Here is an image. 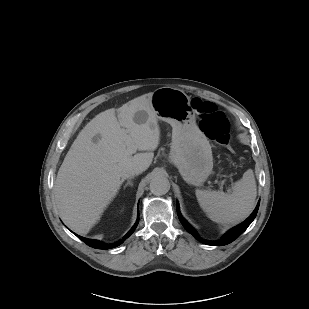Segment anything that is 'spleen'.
Masks as SVG:
<instances>
[{"instance_id":"3e777b00","label":"spleen","mask_w":309,"mask_h":309,"mask_svg":"<svg viewBox=\"0 0 309 309\" xmlns=\"http://www.w3.org/2000/svg\"><path fill=\"white\" fill-rule=\"evenodd\" d=\"M198 203L207 216L219 223H237L253 210L257 196L256 182L252 170L233 186L231 193L211 190H196Z\"/></svg>"}]
</instances>
